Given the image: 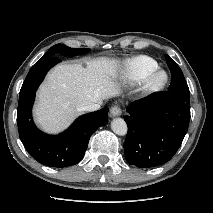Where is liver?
Instances as JSON below:
<instances>
[{"instance_id": "liver-1", "label": "liver", "mask_w": 213, "mask_h": 213, "mask_svg": "<svg viewBox=\"0 0 213 213\" xmlns=\"http://www.w3.org/2000/svg\"><path fill=\"white\" fill-rule=\"evenodd\" d=\"M119 61L101 57L81 64H61L47 75L38 91L34 116L47 133L66 129L89 102H98L119 95L122 90L114 82Z\"/></svg>"}]
</instances>
